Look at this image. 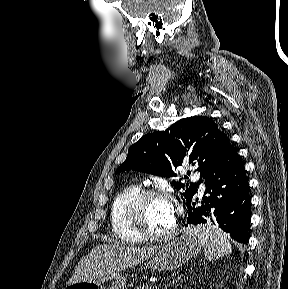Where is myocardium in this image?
Listing matches in <instances>:
<instances>
[{
    "label": "myocardium",
    "mask_w": 288,
    "mask_h": 289,
    "mask_svg": "<svg viewBox=\"0 0 288 289\" xmlns=\"http://www.w3.org/2000/svg\"><path fill=\"white\" fill-rule=\"evenodd\" d=\"M162 199L168 201L174 209L175 216L171 227L160 232H153L144 226L142 219V208L149 199ZM179 208L174 199L164 191L156 189L140 190L128 203L125 211L126 222L129 228L144 240H157L171 236L177 230Z\"/></svg>",
    "instance_id": "myocardium-1"
}]
</instances>
